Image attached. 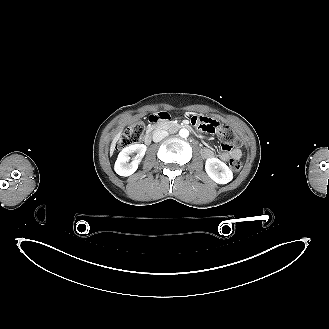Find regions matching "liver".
<instances>
[{
  "instance_id": "obj_1",
  "label": "liver",
  "mask_w": 329,
  "mask_h": 329,
  "mask_svg": "<svg viewBox=\"0 0 329 329\" xmlns=\"http://www.w3.org/2000/svg\"><path fill=\"white\" fill-rule=\"evenodd\" d=\"M121 132L122 131H119L118 134H116V136L113 138V141L111 143V147H110V155L113 154L114 150H115V144L117 143V141L119 140L120 138V135H121Z\"/></svg>"
}]
</instances>
